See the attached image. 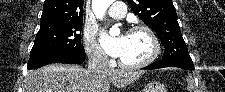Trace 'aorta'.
<instances>
[{
    "mask_svg": "<svg viewBox=\"0 0 225 92\" xmlns=\"http://www.w3.org/2000/svg\"><path fill=\"white\" fill-rule=\"evenodd\" d=\"M114 0H92V9L98 19H102L108 7ZM116 28L111 29V33H115Z\"/></svg>",
    "mask_w": 225,
    "mask_h": 92,
    "instance_id": "762f6f07",
    "label": "aorta"
}]
</instances>
